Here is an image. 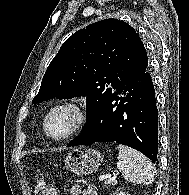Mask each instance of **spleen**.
<instances>
[{"mask_svg":"<svg viewBox=\"0 0 189 195\" xmlns=\"http://www.w3.org/2000/svg\"><path fill=\"white\" fill-rule=\"evenodd\" d=\"M117 168L126 181L149 185L154 179L153 167L146 156L124 145L118 146Z\"/></svg>","mask_w":189,"mask_h":195,"instance_id":"obj_1","label":"spleen"}]
</instances>
